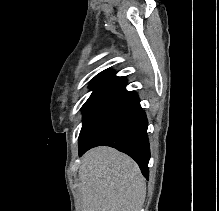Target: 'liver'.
I'll return each mask as SVG.
<instances>
[{
    "label": "liver",
    "instance_id": "liver-1",
    "mask_svg": "<svg viewBox=\"0 0 219 211\" xmlns=\"http://www.w3.org/2000/svg\"><path fill=\"white\" fill-rule=\"evenodd\" d=\"M82 211H140L146 181L129 155L114 147H93L79 167Z\"/></svg>",
    "mask_w": 219,
    "mask_h": 211
}]
</instances>
